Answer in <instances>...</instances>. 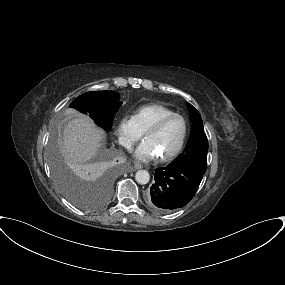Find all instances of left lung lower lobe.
Masks as SVG:
<instances>
[{
  "mask_svg": "<svg viewBox=\"0 0 285 285\" xmlns=\"http://www.w3.org/2000/svg\"><path fill=\"white\" fill-rule=\"evenodd\" d=\"M155 183L147 195V205L160 213L182 208L195 195L203 174L186 167L171 164L158 168L154 173Z\"/></svg>",
  "mask_w": 285,
  "mask_h": 285,
  "instance_id": "1",
  "label": "left lung lower lobe"
}]
</instances>
